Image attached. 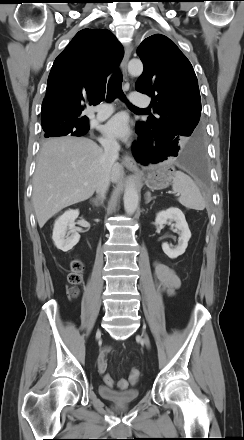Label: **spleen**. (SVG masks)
Segmentation results:
<instances>
[{
    "mask_svg": "<svg viewBox=\"0 0 244 440\" xmlns=\"http://www.w3.org/2000/svg\"><path fill=\"white\" fill-rule=\"evenodd\" d=\"M172 189L180 194L178 201L188 209L204 210L206 202L194 181L185 173L176 171L173 175Z\"/></svg>",
    "mask_w": 244,
    "mask_h": 440,
    "instance_id": "1",
    "label": "spleen"
}]
</instances>
